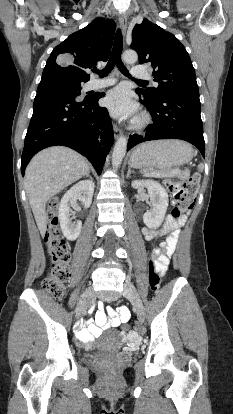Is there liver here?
I'll list each match as a JSON object with an SVG mask.
<instances>
[{"mask_svg": "<svg viewBox=\"0 0 233 414\" xmlns=\"http://www.w3.org/2000/svg\"><path fill=\"white\" fill-rule=\"evenodd\" d=\"M89 172V163L76 151L56 146L37 153L25 171V191L38 229L46 232V203Z\"/></svg>", "mask_w": 233, "mask_h": 414, "instance_id": "obj_1", "label": "liver"}]
</instances>
